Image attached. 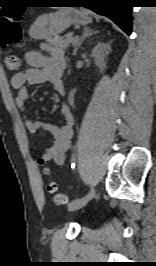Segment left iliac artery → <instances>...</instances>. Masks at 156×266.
<instances>
[{"label":"left iliac artery","instance_id":"obj_1","mask_svg":"<svg viewBox=\"0 0 156 266\" xmlns=\"http://www.w3.org/2000/svg\"><path fill=\"white\" fill-rule=\"evenodd\" d=\"M73 166H74V164H72V168H74ZM96 191H97V188H92V185H89V192H87V194H85V197L86 198H92L95 195Z\"/></svg>","mask_w":156,"mask_h":266}]
</instances>
